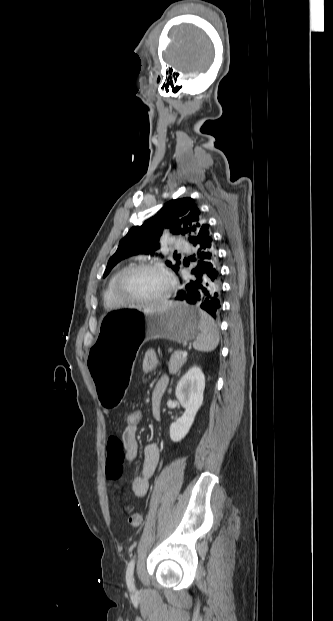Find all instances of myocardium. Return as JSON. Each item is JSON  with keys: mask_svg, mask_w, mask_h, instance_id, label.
Instances as JSON below:
<instances>
[{"mask_svg": "<svg viewBox=\"0 0 333 621\" xmlns=\"http://www.w3.org/2000/svg\"><path fill=\"white\" fill-rule=\"evenodd\" d=\"M140 270H153L164 275L168 281V288L166 292L157 299L153 300H140L133 299L125 296L122 292V286L125 279L132 273ZM175 288V282L169 271L161 264L157 262H141L134 265H131L125 268L116 278L114 283V290L116 297L120 303V305H130V306H151L158 305L166 302L172 295Z\"/></svg>", "mask_w": 333, "mask_h": 621, "instance_id": "myocardium-1", "label": "myocardium"}]
</instances>
